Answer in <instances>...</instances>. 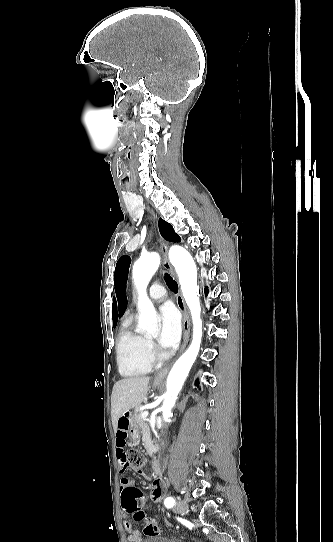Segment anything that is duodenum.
Masks as SVG:
<instances>
[{"label": "duodenum", "instance_id": "obj_1", "mask_svg": "<svg viewBox=\"0 0 333 542\" xmlns=\"http://www.w3.org/2000/svg\"><path fill=\"white\" fill-rule=\"evenodd\" d=\"M153 473L156 477H160L163 471V464H155L152 467Z\"/></svg>", "mask_w": 333, "mask_h": 542}]
</instances>
